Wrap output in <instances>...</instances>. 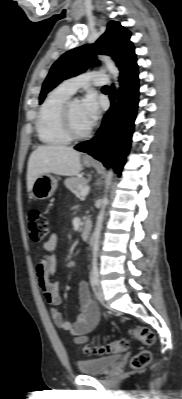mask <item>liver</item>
Wrapping results in <instances>:
<instances>
[{"instance_id": "1", "label": "liver", "mask_w": 182, "mask_h": 399, "mask_svg": "<svg viewBox=\"0 0 182 399\" xmlns=\"http://www.w3.org/2000/svg\"><path fill=\"white\" fill-rule=\"evenodd\" d=\"M81 153L62 145H41L30 155L27 168V190L44 174L76 176L81 171Z\"/></svg>"}]
</instances>
